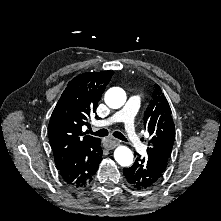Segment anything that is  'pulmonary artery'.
Wrapping results in <instances>:
<instances>
[{"label": "pulmonary artery", "instance_id": "e3ab8cb5", "mask_svg": "<svg viewBox=\"0 0 221 221\" xmlns=\"http://www.w3.org/2000/svg\"><path fill=\"white\" fill-rule=\"evenodd\" d=\"M140 99V95L131 96L123 109L100 121L99 126L107 127L117 122H123L125 133L131 145L138 149L142 154H145V148L137 133L134 122V116L139 106Z\"/></svg>", "mask_w": 221, "mask_h": 221}]
</instances>
